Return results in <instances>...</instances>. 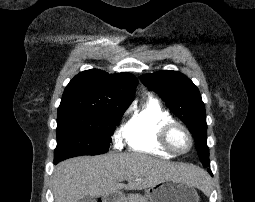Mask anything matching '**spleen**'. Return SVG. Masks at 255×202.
<instances>
[{
	"mask_svg": "<svg viewBox=\"0 0 255 202\" xmlns=\"http://www.w3.org/2000/svg\"><path fill=\"white\" fill-rule=\"evenodd\" d=\"M206 183H207V180H205V182H204V184H203V185H204V187L206 186Z\"/></svg>",
	"mask_w": 255,
	"mask_h": 202,
	"instance_id": "3e777b00",
	"label": "spleen"
}]
</instances>
